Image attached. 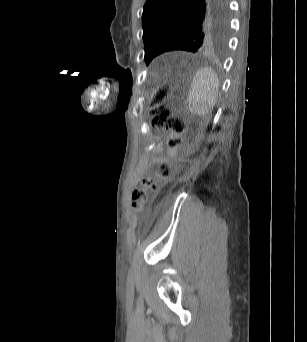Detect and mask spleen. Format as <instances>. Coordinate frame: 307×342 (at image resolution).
Wrapping results in <instances>:
<instances>
[{"label":"spleen","instance_id":"3e777b00","mask_svg":"<svg viewBox=\"0 0 307 342\" xmlns=\"http://www.w3.org/2000/svg\"><path fill=\"white\" fill-rule=\"evenodd\" d=\"M218 74L210 66L200 68L193 76L185 109L191 114H211L218 96Z\"/></svg>","mask_w":307,"mask_h":342}]
</instances>
